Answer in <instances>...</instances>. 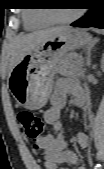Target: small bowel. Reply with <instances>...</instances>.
Here are the masks:
<instances>
[{"instance_id":"c3829d8e","label":"small bowel","mask_w":104,"mask_h":169,"mask_svg":"<svg viewBox=\"0 0 104 169\" xmlns=\"http://www.w3.org/2000/svg\"><path fill=\"white\" fill-rule=\"evenodd\" d=\"M71 94L78 102L83 98V90L74 80H61L56 85L52 96L51 106L44 113L46 123L53 125L57 131L61 130V113L67 102V95ZM75 140L80 148H86L88 137L84 133H78ZM37 146L42 150L45 169H59L61 164H74L78 160L75 152L67 149V142L61 133L56 135L46 134L37 140ZM78 169H86L80 166Z\"/></svg>"}]
</instances>
